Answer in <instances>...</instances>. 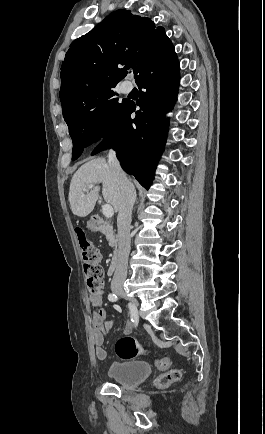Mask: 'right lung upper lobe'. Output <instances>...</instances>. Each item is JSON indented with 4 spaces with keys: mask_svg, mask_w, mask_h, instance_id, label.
I'll return each instance as SVG.
<instances>
[{
    "mask_svg": "<svg viewBox=\"0 0 265 434\" xmlns=\"http://www.w3.org/2000/svg\"><path fill=\"white\" fill-rule=\"evenodd\" d=\"M173 49L165 29L150 17L114 11L71 43L61 66L60 100L119 82L129 67L137 78L148 62Z\"/></svg>",
    "mask_w": 265,
    "mask_h": 434,
    "instance_id": "cb5924a9",
    "label": "right lung upper lobe"
}]
</instances>
